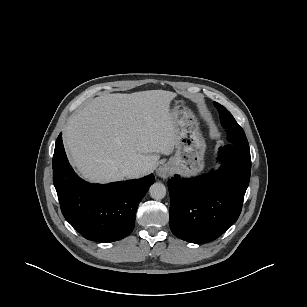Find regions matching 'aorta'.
<instances>
[{
  "instance_id": "762f6f07",
  "label": "aorta",
  "mask_w": 307,
  "mask_h": 307,
  "mask_svg": "<svg viewBox=\"0 0 307 307\" xmlns=\"http://www.w3.org/2000/svg\"><path fill=\"white\" fill-rule=\"evenodd\" d=\"M149 193L153 199H163L166 195V187L164 184L156 182L150 186Z\"/></svg>"
}]
</instances>
